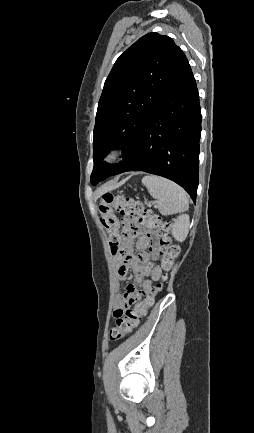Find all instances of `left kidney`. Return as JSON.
Masks as SVG:
<instances>
[{
  "label": "left kidney",
  "instance_id": "obj_1",
  "mask_svg": "<svg viewBox=\"0 0 254 433\" xmlns=\"http://www.w3.org/2000/svg\"><path fill=\"white\" fill-rule=\"evenodd\" d=\"M189 223L187 214H182L174 220L171 232L177 241L182 242L186 239L189 232Z\"/></svg>",
  "mask_w": 254,
  "mask_h": 433
}]
</instances>
